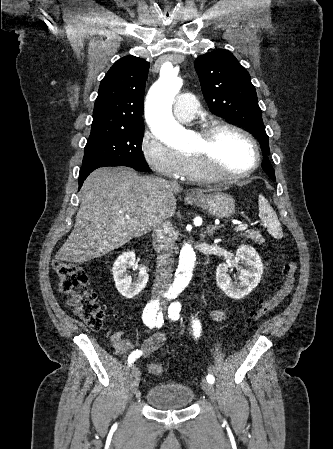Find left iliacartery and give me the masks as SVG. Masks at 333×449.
I'll use <instances>...</instances> for the list:
<instances>
[{
    "label": "left iliac artery",
    "instance_id": "1",
    "mask_svg": "<svg viewBox=\"0 0 333 449\" xmlns=\"http://www.w3.org/2000/svg\"><path fill=\"white\" fill-rule=\"evenodd\" d=\"M181 310V305L179 302H173L169 308H168V316L169 318H171L172 320H178L179 319V312ZM193 334L195 336V338L200 336L201 333V325L199 320L195 319L193 320ZM206 379L209 383L213 384L215 381V378L212 374H208L206 376Z\"/></svg>",
    "mask_w": 333,
    "mask_h": 449
}]
</instances>
